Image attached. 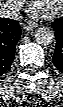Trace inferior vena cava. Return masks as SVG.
Here are the masks:
<instances>
[{
  "label": "inferior vena cava",
  "mask_w": 63,
  "mask_h": 107,
  "mask_svg": "<svg viewBox=\"0 0 63 107\" xmlns=\"http://www.w3.org/2000/svg\"><path fill=\"white\" fill-rule=\"evenodd\" d=\"M21 7L22 3L17 0L2 1L0 9L1 16L17 20L20 18Z\"/></svg>",
  "instance_id": "1"
}]
</instances>
